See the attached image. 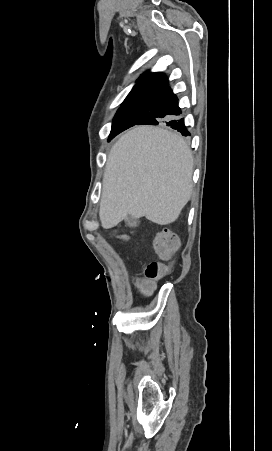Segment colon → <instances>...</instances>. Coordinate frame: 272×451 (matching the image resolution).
<instances>
[{
    "instance_id": "1",
    "label": "colon",
    "mask_w": 272,
    "mask_h": 451,
    "mask_svg": "<svg viewBox=\"0 0 272 451\" xmlns=\"http://www.w3.org/2000/svg\"><path fill=\"white\" fill-rule=\"evenodd\" d=\"M115 236L123 237L119 232L114 233ZM153 246L158 249V254L164 256L166 260H173L175 253L171 251L179 247V239L176 234L163 230L162 235L154 238ZM142 247L146 246L145 242L141 243ZM174 264L172 262H150L144 267V274H132L131 286L134 289H143L141 294L147 297L150 294L148 289H158L161 278H166L167 271H172Z\"/></svg>"
}]
</instances>
